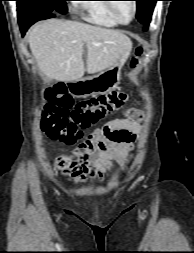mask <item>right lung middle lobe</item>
I'll return each mask as SVG.
<instances>
[{
	"instance_id": "right-lung-middle-lobe-1",
	"label": "right lung middle lobe",
	"mask_w": 194,
	"mask_h": 253,
	"mask_svg": "<svg viewBox=\"0 0 194 253\" xmlns=\"http://www.w3.org/2000/svg\"><path fill=\"white\" fill-rule=\"evenodd\" d=\"M18 19L27 21L42 20L44 15L58 13L66 14L68 0H16Z\"/></svg>"
}]
</instances>
